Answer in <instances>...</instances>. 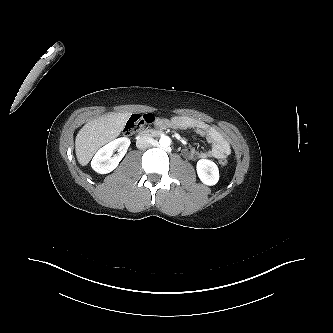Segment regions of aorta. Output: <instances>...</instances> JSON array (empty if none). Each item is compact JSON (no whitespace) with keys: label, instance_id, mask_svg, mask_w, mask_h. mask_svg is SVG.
I'll return each instance as SVG.
<instances>
[{"label":"aorta","instance_id":"1","mask_svg":"<svg viewBox=\"0 0 333 333\" xmlns=\"http://www.w3.org/2000/svg\"><path fill=\"white\" fill-rule=\"evenodd\" d=\"M159 144L164 148L169 147L171 144V139L168 136H162L159 140Z\"/></svg>","mask_w":333,"mask_h":333}]
</instances>
